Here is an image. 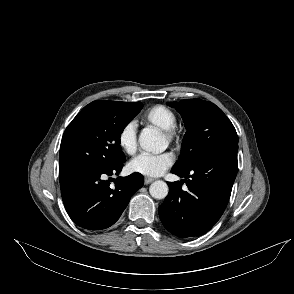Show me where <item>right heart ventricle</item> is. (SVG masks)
<instances>
[{
  "mask_svg": "<svg viewBox=\"0 0 294 294\" xmlns=\"http://www.w3.org/2000/svg\"><path fill=\"white\" fill-rule=\"evenodd\" d=\"M141 122L147 127L162 131L176 126L177 115L167 106L154 105L143 113Z\"/></svg>",
  "mask_w": 294,
  "mask_h": 294,
  "instance_id": "obj_1",
  "label": "right heart ventricle"
}]
</instances>
